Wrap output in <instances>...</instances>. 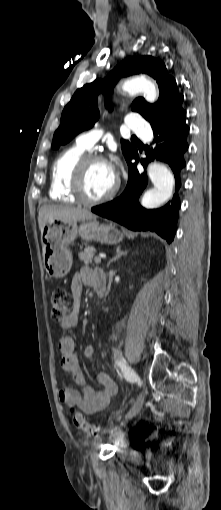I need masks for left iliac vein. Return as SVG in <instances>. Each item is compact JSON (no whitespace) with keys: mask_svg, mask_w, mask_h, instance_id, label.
I'll use <instances>...</instances> for the list:
<instances>
[{"mask_svg":"<svg viewBox=\"0 0 221 510\" xmlns=\"http://www.w3.org/2000/svg\"><path fill=\"white\" fill-rule=\"evenodd\" d=\"M144 398H145V393H144V391H141L140 394L138 395L135 403L133 404L132 408L126 414V416H125L126 420L133 418L140 412V410L143 406V403H144Z\"/></svg>","mask_w":221,"mask_h":510,"instance_id":"left-iliac-vein-1","label":"left iliac vein"}]
</instances>
